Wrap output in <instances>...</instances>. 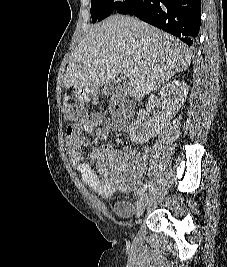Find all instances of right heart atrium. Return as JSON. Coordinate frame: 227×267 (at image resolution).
I'll return each instance as SVG.
<instances>
[{
	"label": "right heart atrium",
	"mask_w": 227,
	"mask_h": 267,
	"mask_svg": "<svg viewBox=\"0 0 227 267\" xmlns=\"http://www.w3.org/2000/svg\"><path fill=\"white\" fill-rule=\"evenodd\" d=\"M116 2H123L124 0H115Z\"/></svg>",
	"instance_id": "right-heart-atrium-1"
}]
</instances>
